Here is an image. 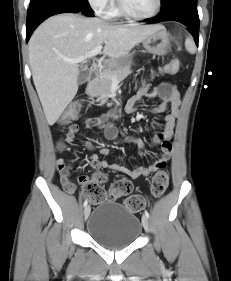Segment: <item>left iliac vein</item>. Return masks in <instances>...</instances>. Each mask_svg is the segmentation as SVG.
Wrapping results in <instances>:
<instances>
[{
	"label": "left iliac vein",
	"mask_w": 231,
	"mask_h": 281,
	"mask_svg": "<svg viewBox=\"0 0 231 281\" xmlns=\"http://www.w3.org/2000/svg\"><path fill=\"white\" fill-rule=\"evenodd\" d=\"M142 225L146 231H149V222L145 215L142 216Z\"/></svg>",
	"instance_id": "1"
}]
</instances>
